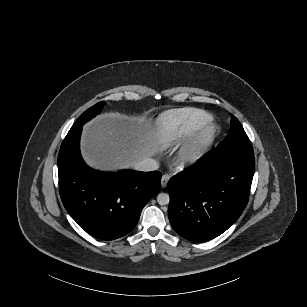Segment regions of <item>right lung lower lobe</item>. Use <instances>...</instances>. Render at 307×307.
<instances>
[{
	"instance_id": "98d812e1",
	"label": "right lung lower lobe",
	"mask_w": 307,
	"mask_h": 307,
	"mask_svg": "<svg viewBox=\"0 0 307 307\" xmlns=\"http://www.w3.org/2000/svg\"><path fill=\"white\" fill-rule=\"evenodd\" d=\"M82 126L71 128L60 148V196L65 209L87 233L102 240L117 239L136 226L143 207L160 188L161 174L91 169L80 154Z\"/></svg>"
}]
</instances>
